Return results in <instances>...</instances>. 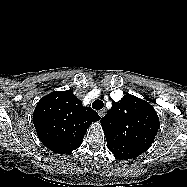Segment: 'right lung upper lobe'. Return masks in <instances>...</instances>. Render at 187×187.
Returning a JSON list of instances; mask_svg holds the SVG:
<instances>
[{
  "label": "right lung upper lobe",
  "instance_id": "right-lung-upper-lobe-1",
  "mask_svg": "<svg viewBox=\"0 0 187 187\" xmlns=\"http://www.w3.org/2000/svg\"><path fill=\"white\" fill-rule=\"evenodd\" d=\"M98 120L100 116L90 107H83L70 90L42 97L33 113L39 139L48 149L60 154L77 149L87 128Z\"/></svg>",
  "mask_w": 187,
  "mask_h": 187
}]
</instances>
